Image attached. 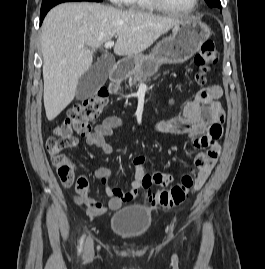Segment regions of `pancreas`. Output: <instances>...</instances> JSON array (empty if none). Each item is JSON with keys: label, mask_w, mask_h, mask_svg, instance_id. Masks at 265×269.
<instances>
[{"label": "pancreas", "mask_w": 265, "mask_h": 269, "mask_svg": "<svg viewBox=\"0 0 265 269\" xmlns=\"http://www.w3.org/2000/svg\"><path fill=\"white\" fill-rule=\"evenodd\" d=\"M150 79L147 77H143L142 75L138 74V73H133L130 72L129 73V80H128V84L127 86L132 88L134 87L137 83L141 82V81H149ZM120 87V82H117L114 85V90L118 89Z\"/></svg>", "instance_id": "pancreas-1"}]
</instances>
